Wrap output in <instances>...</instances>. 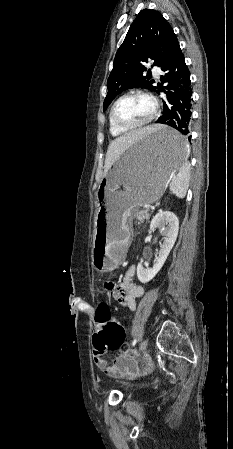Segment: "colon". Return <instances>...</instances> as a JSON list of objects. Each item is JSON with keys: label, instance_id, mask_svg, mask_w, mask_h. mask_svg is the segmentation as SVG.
<instances>
[{"label": "colon", "instance_id": "obj_1", "mask_svg": "<svg viewBox=\"0 0 233 449\" xmlns=\"http://www.w3.org/2000/svg\"><path fill=\"white\" fill-rule=\"evenodd\" d=\"M95 318L92 320L94 328L93 344L100 352L116 351L125 348L126 332L117 318L112 316V311L106 307L95 311Z\"/></svg>", "mask_w": 233, "mask_h": 449}]
</instances>
